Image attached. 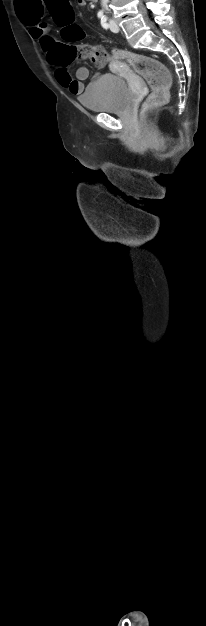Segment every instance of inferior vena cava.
I'll return each instance as SVG.
<instances>
[{"label":"inferior vena cava","instance_id":"inferior-vena-cava-1","mask_svg":"<svg viewBox=\"0 0 206 626\" xmlns=\"http://www.w3.org/2000/svg\"><path fill=\"white\" fill-rule=\"evenodd\" d=\"M109 0H101V5L104 9H107V4H108Z\"/></svg>","mask_w":206,"mask_h":626}]
</instances>
